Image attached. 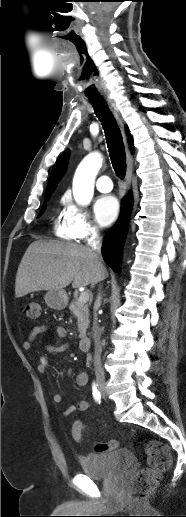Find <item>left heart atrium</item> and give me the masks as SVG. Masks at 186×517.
Segmentation results:
<instances>
[{
	"mask_svg": "<svg viewBox=\"0 0 186 517\" xmlns=\"http://www.w3.org/2000/svg\"><path fill=\"white\" fill-rule=\"evenodd\" d=\"M119 204L114 196H102L94 204V213L101 226L110 225L117 217Z\"/></svg>",
	"mask_w": 186,
	"mask_h": 517,
	"instance_id": "obj_1",
	"label": "left heart atrium"
}]
</instances>
